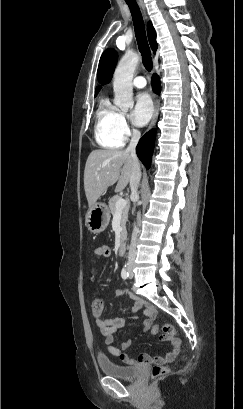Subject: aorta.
<instances>
[{"mask_svg":"<svg viewBox=\"0 0 243 409\" xmlns=\"http://www.w3.org/2000/svg\"><path fill=\"white\" fill-rule=\"evenodd\" d=\"M138 62V54L134 52H126L114 72V103L124 111L132 108L134 105L132 79Z\"/></svg>","mask_w":243,"mask_h":409,"instance_id":"762f6f07","label":"aorta"}]
</instances>
